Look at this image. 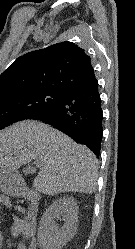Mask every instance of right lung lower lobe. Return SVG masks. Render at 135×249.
Listing matches in <instances>:
<instances>
[{
    "mask_svg": "<svg viewBox=\"0 0 135 249\" xmlns=\"http://www.w3.org/2000/svg\"><path fill=\"white\" fill-rule=\"evenodd\" d=\"M29 119L40 120L86 145L99 158L103 115L98 81L74 86Z\"/></svg>",
    "mask_w": 135,
    "mask_h": 249,
    "instance_id": "obj_1",
    "label": "right lung lower lobe"
}]
</instances>
